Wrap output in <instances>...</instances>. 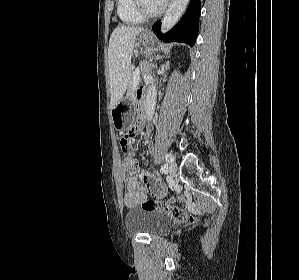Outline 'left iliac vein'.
<instances>
[{
  "mask_svg": "<svg viewBox=\"0 0 299 280\" xmlns=\"http://www.w3.org/2000/svg\"><path fill=\"white\" fill-rule=\"evenodd\" d=\"M177 175V165L175 163H171L169 167V177L170 179H174Z\"/></svg>",
  "mask_w": 299,
  "mask_h": 280,
  "instance_id": "1",
  "label": "left iliac vein"
}]
</instances>
